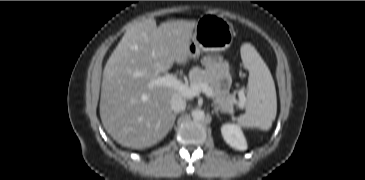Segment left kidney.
I'll use <instances>...</instances> for the list:
<instances>
[{"mask_svg": "<svg viewBox=\"0 0 365 180\" xmlns=\"http://www.w3.org/2000/svg\"><path fill=\"white\" fill-rule=\"evenodd\" d=\"M221 133L226 143L229 144L231 147L237 150L247 149V142L241 129L238 126L230 123L224 124L221 127Z\"/></svg>", "mask_w": 365, "mask_h": 180, "instance_id": "left-kidney-1", "label": "left kidney"}]
</instances>
